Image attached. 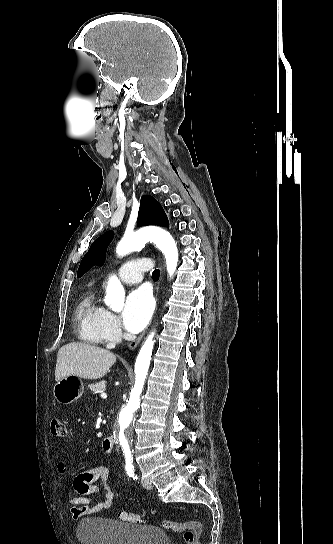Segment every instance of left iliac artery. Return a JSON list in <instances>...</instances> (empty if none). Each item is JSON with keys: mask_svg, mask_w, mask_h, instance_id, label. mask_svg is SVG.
I'll return each mask as SVG.
<instances>
[{"mask_svg": "<svg viewBox=\"0 0 333 544\" xmlns=\"http://www.w3.org/2000/svg\"><path fill=\"white\" fill-rule=\"evenodd\" d=\"M125 470L129 477L133 478L134 480L137 479V476L135 475V472H134V466L131 462L126 463Z\"/></svg>", "mask_w": 333, "mask_h": 544, "instance_id": "obj_1", "label": "left iliac artery"}]
</instances>
